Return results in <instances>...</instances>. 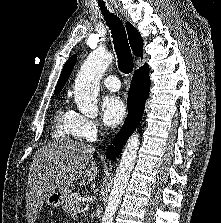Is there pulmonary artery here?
I'll list each match as a JSON object with an SVG mask.
<instances>
[{"instance_id": "1", "label": "pulmonary artery", "mask_w": 221, "mask_h": 223, "mask_svg": "<svg viewBox=\"0 0 221 223\" xmlns=\"http://www.w3.org/2000/svg\"><path fill=\"white\" fill-rule=\"evenodd\" d=\"M103 85L111 90V91H117L120 88V82L116 75H107L102 80Z\"/></svg>"}]
</instances>
